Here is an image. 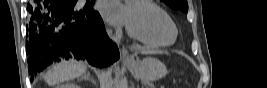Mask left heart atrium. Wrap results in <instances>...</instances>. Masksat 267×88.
Instances as JSON below:
<instances>
[{
	"instance_id": "obj_1",
	"label": "left heart atrium",
	"mask_w": 267,
	"mask_h": 88,
	"mask_svg": "<svg viewBox=\"0 0 267 88\" xmlns=\"http://www.w3.org/2000/svg\"><path fill=\"white\" fill-rule=\"evenodd\" d=\"M102 16L115 25H128L129 9L126 5H121L118 1L106 0L100 3Z\"/></svg>"
}]
</instances>
